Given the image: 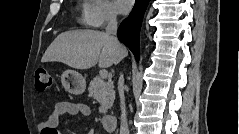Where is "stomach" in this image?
Returning <instances> with one entry per match:
<instances>
[{"label":"stomach","instance_id":"1","mask_svg":"<svg viewBox=\"0 0 239 134\" xmlns=\"http://www.w3.org/2000/svg\"><path fill=\"white\" fill-rule=\"evenodd\" d=\"M63 87L71 94H82L86 89L85 78L74 70H66L61 75Z\"/></svg>","mask_w":239,"mask_h":134}]
</instances>
